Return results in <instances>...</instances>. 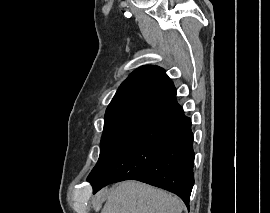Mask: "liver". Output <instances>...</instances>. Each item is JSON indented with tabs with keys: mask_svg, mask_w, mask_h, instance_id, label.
Masks as SVG:
<instances>
[{
	"mask_svg": "<svg viewBox=\"0 0 270 213\" xmlns=\"http://www.w3.org/2000/svg\"><path fill=\"white\" fill-rule=\"evenodd\" d=\"M93 207L96 213L101 208V213H181L183 203L163 190L126 181L99 191L93 199Z\"/></svg>",
	"mask_w": 270,
	"mask_h": 213,
	"instance_id": "6515ba94",
	"label": "liver"
}]
</instances>
